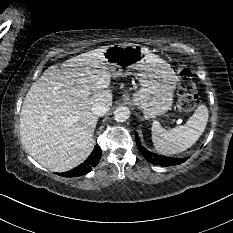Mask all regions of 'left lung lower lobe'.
<instances>
[{
	"mask_svg": "<svg viewBox=\"0 0 233 233\" xmlns=\"http://www.w3.org/2000/svg\"><path fill=\"white\" fill-rule=\"evenodd\" d=\"M136 135V145L139 149V151L143 154V156L145 157V159L152 164H157V165H161V166H170V165H178L181 164L183 162H185L187 160V158L184 159H177V158H169V157H163V156H159L155 153H152L148 150H146L142 145L141 142L139 140V137Z\"/></svg>",
	"mask_w": 233,
	"mask_h": 233,
	"instance_id": "obj_1",
	"label": "left lung lower lobe"
}]
</instances>
